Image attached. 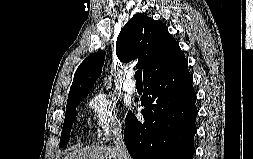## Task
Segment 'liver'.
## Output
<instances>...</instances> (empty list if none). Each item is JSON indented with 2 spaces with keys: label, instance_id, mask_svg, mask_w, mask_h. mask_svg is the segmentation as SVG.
I'll return each instance as SVG.
<instances>
[{
  "label": "liver",
  "instance_id": "liver-1",
  "mask_svg": "<svg viewBox=\"0 0 253 159\" xmlns=\"http://www.w3.org/2000/svg\"><path fill=\"white\" fill-rule=\"evenodd\" d=\"M63 159H118V154L114 147L86 146L75 148Z\"/></svg>",
  "mask_w": 253,
  "mask_h": 159
}]
</instances>
